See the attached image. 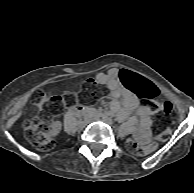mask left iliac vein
<instances>
[{
	"label": "left iliac vein",
	"mask_w": 194,
	"mask_h": 193,
	"mask_svg": "<svg viewBox=\"0 0 194 193\" xmlns=\"http://www.w3.org/2000/svg\"><path fill=\"white\" fill-rule=\"evenodd\" d=\"M105 123L109 124V125H112L113 124V120L108 118V117H105L104 120H103Z\"/></svg>",
	"instance_id": "4c4485c4"
}]
</instances>
